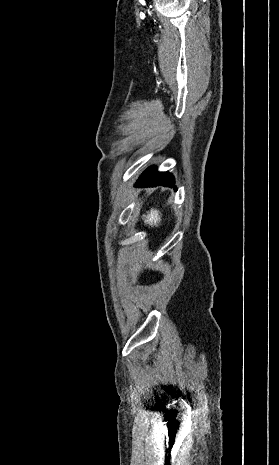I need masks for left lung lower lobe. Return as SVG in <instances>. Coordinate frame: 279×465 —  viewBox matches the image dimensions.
Returning <instances> with one entry per match:
<instances>
[{
	"instance_id": "1",
	"label": "left lung lower lobe",
	"mask_w": 279,
	"mask_h": 465,
	"mask_svg": "<svg viewBox=\"0 0 279 465\" xmlns=\"http://www.w3.org/2000/svg\"><path fill=\"white\" fill-rule=\"evenodd\" d=\"M174 186V178L168 172H158L155 166L149 167L136 182L138 187ZM176 189V187H174Z\"/></svg>"
}]
</instances>
